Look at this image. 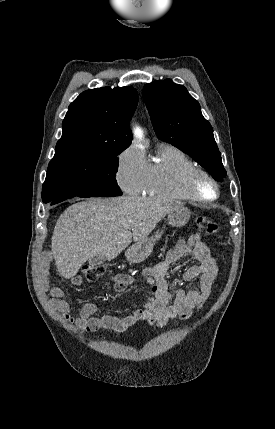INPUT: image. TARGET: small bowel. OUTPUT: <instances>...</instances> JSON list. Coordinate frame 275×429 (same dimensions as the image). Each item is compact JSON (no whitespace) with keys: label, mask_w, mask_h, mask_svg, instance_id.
<instances>
[{"label":"small bowel","mask_w":275,"mask_h":429,"mask_svg":"<svg viewBox=\"0 0 275 429\" xmlns=\"http://www.w3.org/2000/svg\"><path fill=\"white\" fill-rule=\"evenodd\" d=\"M186 256L196 260V263L187 268L182 275L186 286L170 287L165 279L167 272L177 261ZM143 274L150 283L151 296L146 299L143 307L123 317L96 316L95 302L84 304L80 308L79 315L74 317L72 316L74 307L64 299V293L60 288L46 286L45 291L51 306L65 320L85 332H95L99 329L124 332L141 321L155 328H162L172 319H188L195 309L204 306L217 278L218 266L200 235L190 234L187 240H179L163 261L153 267H146ZM196 278H198L197 286L191 284ZM112 280L117 292H123L132 283V278L128 274H116ZM83 282L80 275L71 278V283L75 286H81ZM172 298L174 302L170 304Z\"/></svg>","instance_id":"1"}]
</instances>
